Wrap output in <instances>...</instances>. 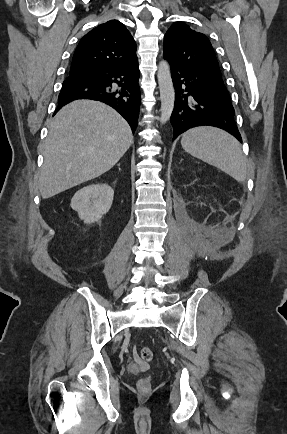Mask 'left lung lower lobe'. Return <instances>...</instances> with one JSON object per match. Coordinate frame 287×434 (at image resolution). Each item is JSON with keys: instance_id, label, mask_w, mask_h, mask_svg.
Segmentation results:
<instances>
[{"instance_id": "0a47b994", "label": "left lung lower lobe", "mask_w": 287, "mask_h": 434, "mask_svg": "<svg viewBox=\"0 0 287 434\" xmlns=\"http://www.w3.org/2000/svg\"><path fill=\"white\" fill-rule=\"evenodd\" d=\"M169 64L175 88L174 110L170 119L173 140L190 128L210 125L229 132L242 142L223 80L188 65Z\"/></svg>"}]
</instances>
